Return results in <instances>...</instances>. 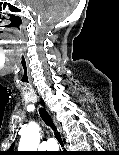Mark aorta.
Returning <instances> with one entry per match:
<instances>
[{
    "label": "aorta",
    "mask_w": 119,
    "mask_h": 155,
    "mask_svg": "<svg viewBox=\"0 0 119 155\" xmlns=\"http://www.w3.org/2000/svg\"><path fill=\"white\" fill-rule=\"evenodd\" d=\"M40 128L36 123H30L19 143L20 151H36L39 144Z\"/></svg>",
    "instance_id": "obj_1"
}]
</instances>
